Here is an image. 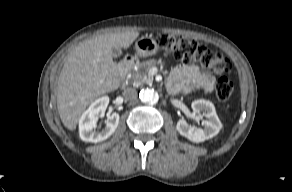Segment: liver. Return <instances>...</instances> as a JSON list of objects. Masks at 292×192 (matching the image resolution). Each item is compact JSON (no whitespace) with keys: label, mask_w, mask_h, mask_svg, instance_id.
Listing matches in <instances>:
<instances>
[{"label":"liver","mask_w":292,"mask_h":192,"mask_svg":"<svg viewBox=\"0 0 292 192\" xmlns=\"http://www.w3.org/2000/svg\"><path fill=\"white\" fill-rule=\"evenodd\" d=\"M138 36V31L99 35L69 52L57 86V109L67 129H76L81 115L96 98L119 88L112 49H127Z\"/></svg>","instance_id":"6515ba94"}]
</instances>
